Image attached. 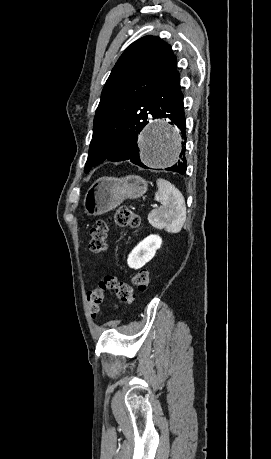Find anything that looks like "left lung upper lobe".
Segmentation results:
<instances>
[{"label":"left lung upper lobe","mask_w":271,"mask_h":459,"mask_svg":"<svg viewBox=\"0 0 271 459\" xmlns=\"http://www.w3.org/2000/svg\"><path fill=\"white\" fill-rule=\"evenodd\" d=\"M176 66L171 46L158 37L140 38L123 52L101 94L85 173L105 161L123 127L147 112L151 91L176 72Z\"/></svg>","instance_id":"1"}]
</instances>
